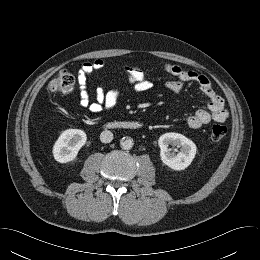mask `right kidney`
Segmentation results:
<instances>
[{
  "label": "right kidney",
  "instance_id": "obj_1",
  "mask_svg": "<svg viewBox=\"0 0 260 260\" xmlns=\"http://www.w3.org/2000/svg\"><path fill=\"white\" fill-rule=\"evenodd\" d=\"M87 136L83 130L67 129L61 133L53 146V156L59 163H67L74 160L86 143Z\"/></svg>",
  "mask_w": 260,
  "mask_h": 260
}]
</instances>
